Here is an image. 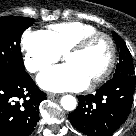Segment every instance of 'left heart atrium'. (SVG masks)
<instances>
[{"label":"left heart atrium","mask_w":136,"mask_h":136,"mask_svg":"<svg viewBox=\"0 0 136 136\" xmlns=\"http://www.w3.org/2000/svg\"><path fill=\"white\" fill-rule=\"evenodd\" d=\"M37 82L43 89L52 92L79 91L90 83L79 68L69 63L45 70L38 76Z\"/></svg>","instance_id":"39dd6f15"}]
</instances>
